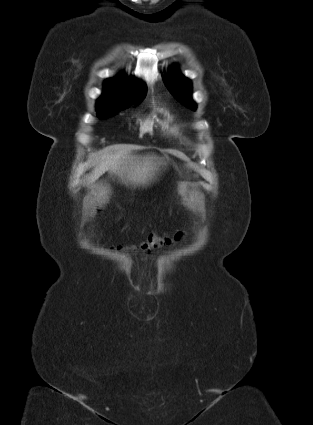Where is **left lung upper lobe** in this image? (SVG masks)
<instances>
[{"mask_svg":"<svg viewBox=\"0 0 313 425\" xmlns=\"http://www.w3.org/2000/svg\"><path fill=\"white\" fill-rule=\"evenodd\" d=\"M164 83L180 102L192 110L196 109V104L191 99V82L188 78L179 74L176 67H172L169 70L168 77L164 79Z\"/></svg>","mask_w":313,"mask_h":425,"instance_id":"1","label":"left lung upper lobe"}]
</instances>
